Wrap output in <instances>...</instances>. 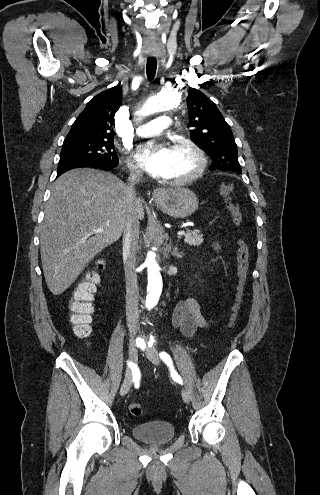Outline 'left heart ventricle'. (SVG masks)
<instances>
[{
  "instance_id": "left-heart-ventricle-1",
  "label": "left heart ventricle",
  "mask_w": 320,
  "mask_h": 495,
  "mask_svg": "<svg viewBox=\"0 0 320 495\" xmlns=\"http://www.w3.org/2000/svg\"><path fill=\"white\" fill-rule=\"evenodd\" d=\"M172 154V164L169 178H181L195 167L193 155L183 147L170 148Z\"/></svg>"
}]
</instances>
